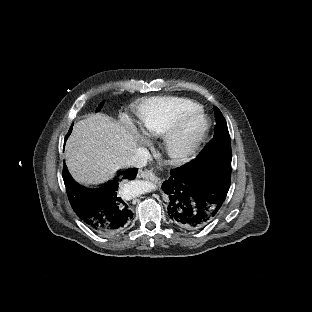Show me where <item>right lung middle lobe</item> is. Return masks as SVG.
I'll return each instance as SVG.
<instances>
[{
    "label": "right lung middle lobe",
    "instance_id": "dd1d6c3e",
    "mask_svg": "<svg viewBox=\"0 0 312 312\" xmlns=\"http://www.w3.org/2000/svg\"><path fill=\"white\" fill-rule=\"evenodd\" d=\"M103 105H104V103H101V104L99 105V107L97 108V110H96V111H97V112H98V111H100V110H101V108L103 107ZM72 126H73V125H72ZM72 126H71V128H70V130H69L68 136H69V134H70V133H71V131H72ZM68 136H67V137H68Z\"/></svg>",
    "mask_w": 312,
    "mask_h": 312
}]
</instances>
